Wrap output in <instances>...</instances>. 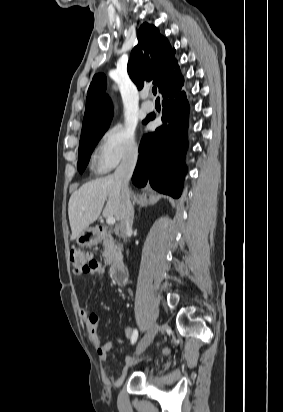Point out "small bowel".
<instances>
[{"mask_svg":"<svg viewBox=\"0 0 283 412\" xmlns=\"http://www.w3.org/2000/svg\"><path fill=\"white\" fill-rule=\"evenodd\" d=\"M104 274V268L101 264H99L98 270L94 273H91V275L94 276H101ZM80 317L83 322L84 328L86 330V333L92 343V345L95 347L97 351V355L100 361H106L108 357V353L113 347V342L107 341L105 343H102L99 339L98 333H97V328L99 324V316L94 313V312H89L85 309H81L80 312ZM133 330L131 327H126L124 329V336L126 338L132 337ZM170 353L169 348H165L163 350V354L167 355ZM131 358L127 357L126 358V364L123 367L121 374L118 376H108L104 371L101 372L102 379L104 380L105 383L111 386H117L119 385L127 372L128 367L132 364Z\"/></svg>","mask_w":283,"mask_h":412,"instance_id":"c3829d8e","label":"small bowel"}]
</instances>
